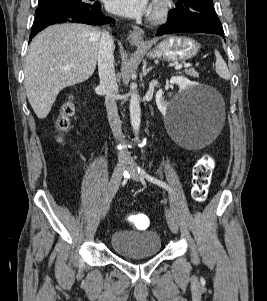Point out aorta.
<instances>
[{
  "label": "aorta",
  "instance_id": "aorta-1",
  "mask_svg": "<svg viewBox=\"0 0 267 301\" xmlns=\"http://www.w3.org/2000/svg\"><path fill=\"white\" fill-rule=\"evenodd\" d=\"M130 120L131 125L133 128L134 134L137 136L140 130V123H141V109H140V98L137 92V85H131L130 91Z\"/></svg>",
  "mask_w": 267,
  "mask_h": 301
}]
</instances>
